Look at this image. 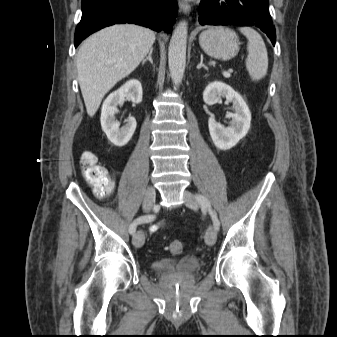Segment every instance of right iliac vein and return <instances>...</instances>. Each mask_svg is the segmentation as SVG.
Wrapping results in <instances>:
<instances>
[{"mask_svg":"<svg viewBox=\"0 0 337 337\" xmlns=\"http://www.w3.org/2000/svg\"><path fill=\"white\" fill-rule=\"evenodd\" d=\"M155 189L154 187L150 186L147 188L143 200V210L145 212H149L155 205ZM145 241V236L142 231H137L132 238L133 245L137 248H140L143 246Z\"/></svg>","mask_w":337,"mask_h":337,"instance_id":"63e3f726","label":"right iliac vein"}]
</instances>
